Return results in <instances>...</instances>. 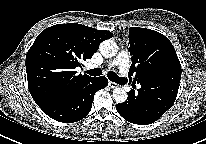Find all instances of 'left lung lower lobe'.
<instances>
[{"label": "left lung lower lobe", "instance_id": "0a47b994", "mask_svg": "<svg viewBox=\"0 0 206 144\" xmlns=\"http://www.w3.org/2000/svg\"><path fill=\"white\" fill-rule=\"evenodd\" d=\"M175 99L176 95L168 92L148 95L145 86L141 85L138 92L131 90L127 101L117 104L116 108L125 120L146 125L157 121L172 107Z\"/></svg>", "mask_w": 206, "mask_h": 144}]
</instances>
